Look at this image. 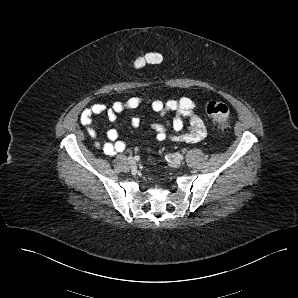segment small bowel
I'll list each match as a JSON object with an SVG mask.
<instances>
[{
    "mask_svg": "<svg viewBox=\"0 0 298 298\" xmlns=\"http://www.w3.org/2000/svg\"><path fill=\"white\" fill-rule=\"evenodd\" d=\"M143 103H147L160 116L173 113L171 120L152 124L151 129L158 141L169 140L173 142L196 143L206 136V126L195 112L196 104L187 97L171 99L165 102L159 99L131 97L126 101H116L110 106H106L103 103H95L82 111L80 120L88 135L94 140L95 146L106 155L114 156L126 150V143L119 139V133L116 129L108 130V141L101 143L97 138L94 118L98 115L106 114L109 120L115 121L124 110L136 109ZM183 119H188L189 121L186 132H183ZM130 122L134 128H138L140 125V119L137 116H132ZM169 128H171V131H169Z\"/></svg>",
    "mask_w": 298,
    "mask_h": 298,
    "instance_id": "obj_1",
    "label": "small bowel"
}]
</instances>
